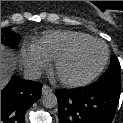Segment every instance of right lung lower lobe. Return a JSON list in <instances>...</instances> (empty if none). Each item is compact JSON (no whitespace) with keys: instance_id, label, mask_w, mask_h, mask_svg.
Returning <instances> with one entry per match:
<instances>
[{"instance_id":"98d812e1","label":"right lung lower lobe","mask_w":123,"mask_h":123,"mask_svg":"<svg viewBox=\"0 0 123 123\" xmlns=\"http://www.w3.org/2000/svg\"><path fill=\"white\" fill-rule=\"evenodd\" d=\"M42 84L13 77L1 91V123H25L26 110L41 96Z\"/></svg>"}]
</instances>
